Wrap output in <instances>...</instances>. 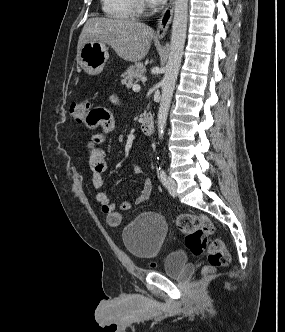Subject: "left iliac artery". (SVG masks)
Returning <instances> with one entry per match:
<instances>
[{"label": "left iliac artery", "mask_w": 285, "mask_h": 332, "mask_svg": "<svg viewBox=\"0 0 285 332\" xmlns=\"http://www.w3.org/2000/svg\"><path fill=\"white\" fill-rule=\"evenodd\" d=\"M160 180L162 182V184L165 186L167 184V175L166 172L163 169H160Z\"/></svg>", "instance_id": "left-iliac-artery-1"}]
</instances>
